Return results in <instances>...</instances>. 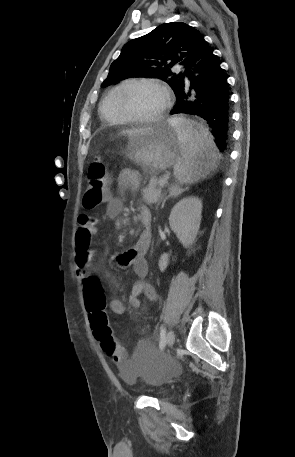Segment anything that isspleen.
Masks as SVG:
<instances>
[{
    "mask_svg": "<svg viewBox=\"0 0 295 457\" xmlns=\"http://www.w3.org/2000/svg\"><path fill=\"white\" fill-rule=\"evenodd\" d=\"M176 129L181 157L174 165V176L181 183L199 181L217 167L220 159L208 129L194 121L175 117L168 120Z\"/></svg>",
    "mask_w": 295,
    "mask_h": 457,
    "instance_id": "obj_1",
    "label": "spleen"
}]
</instances>
